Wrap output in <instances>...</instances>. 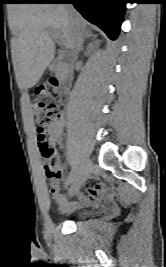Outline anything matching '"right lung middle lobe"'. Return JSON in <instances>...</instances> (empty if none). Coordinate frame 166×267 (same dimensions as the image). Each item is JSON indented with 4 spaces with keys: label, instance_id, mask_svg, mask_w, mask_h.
Listing matches in <instances>:
<instances>
[{
    "label": "right lung middle lobe",
    "instance_id": "dd1d6c3e",
    "mask_svg": "<svg viewBox=\"0 0 166 267\" xmlns=\"http://www.w3.org/2000/svg\"><path fill=\"white\" fill-rule=\"evenodd\" d=\"M24 0H18V2L20 3V2H23Z\"/></svg>",
    "mask_w": 166,
    "mask_h": 267
}]
</instances>
